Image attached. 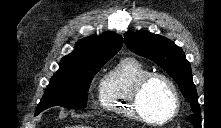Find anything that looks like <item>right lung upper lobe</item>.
Here are the masks:
<instances>
[{
    "mask_svg": "<svg viewBox=\"0 0 221 128\" xmlns=\"http://www.w3.org/2000/svg\"><path fill=\"white\" fill-rule=\"evenodd\" d=\"M122 37L107 32L78 41L75 50L62 58L57 72L73 70L88 64L98 63L115 55L122 47Z\"/></svg>",
    "mask_w": 221,
    "mask_h": 128,
    "instance_id": "obj_1",
    "label": "right lung upper lobe"
}]
</instances>
